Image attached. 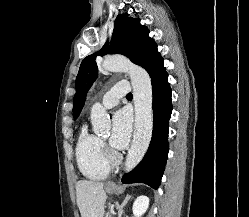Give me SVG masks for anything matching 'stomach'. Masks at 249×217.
I'll use <instances>...</instances> for the list:
<instances>
[{
	"label": "stomach",
	"instance_id": "0dacf381",
	"mask_svg": "<svg viewBox=\"0 0 249 217\" xmlns=\"http://www.w3.org/2000/svg\"><path fill=\"white\" fill-rule=\"evenodd\" d=\"M118 190H119V187H118V186H115V185H108V186H106V191H107L108 193H111V194L117 193Z\"/></svg>",
	"mask_w": 249,
	"mask_h": 217
}]
</instances>
